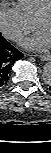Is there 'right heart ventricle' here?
<instances>
[{"mask_svg": "<svg viewBox=\"0 0 51 153\" xmlns=\"http://www.w3.org/2000/svg\"><path fill=\"white\" fill-rule=\"evenodd\" d=\"M17 5L27 19L35 22L37 16L51 6V0H18Z\"/></svg>", "mask_w": 51, "mask_h": 153, "instance_id": "1", "label": "right heart ventricle"}]
</instances>
